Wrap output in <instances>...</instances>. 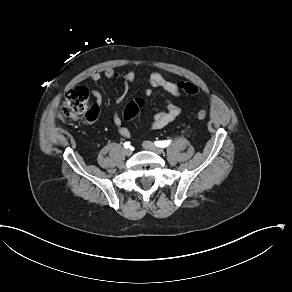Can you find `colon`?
<instances>
[{
    "label": "colon",
    "mask_w": 292,
    "mask_h": 292,
    "mask_svg": "<svg viewBox=\"0 0 292 292\" xmlns=\"http://www.w3.org/2000/svg\"><path fill=\"white\" fill-rule=\"evenodd\" d=\"M183 92L190 95L199 93V86L191 83L181 84ZM147 101L143 97L135 98L129 101L123 111L125 119H134L139 111L144 108ZM100 112V106L95 102H90L89 92L84 87H75L71 89L65 96L64 104L60 111L62 119H78L86 122L94 119ZM208 111L205 107H202L197 112V118L204 120L207 117Z\"/></svg>",
    "instance_id": "5ec220e1"
}]
</instances>
